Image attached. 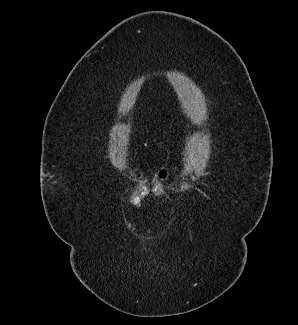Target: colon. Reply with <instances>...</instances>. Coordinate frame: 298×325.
Masks as SVG:
<instances>
[{
	"label": "colon",
	"instance_id": "1",
	"mask_svg": "<svg viewBox=\"0 0 298 325\" xmlns=\"http://www.w3.org/2000/svg\"><path fill=\"white\" fill-rule=\"evenodd\" d=\"M167 178V171L161 169L157 176V182L153 186H149L145 183H140L137 188V194L134 199L135 204L139 205L141 200L147 197L149 194L162 195L164 191V182Z\"/></svg>",
	"mask_w": 298,
	"mask_h": 325
}]
</instances>
